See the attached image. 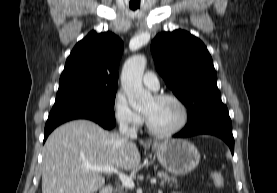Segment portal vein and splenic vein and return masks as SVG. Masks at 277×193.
<instances>
[{
    "mask_svg": "<svg viewBox=\"0 0 277 193\" xmlns=\"http://www.w3.org/2000/svg\"><path fill=\"white\" fill-rule=\"evenodd\" d=\"M87 169L93 170V171H98L101 173H107V174H112L115 173L118 175L119 179L121 180L123 186L129 189H133L135 187L134 181L132 178L127 176L126 174L118 171L116 168L112 166H92V165H87ZM157 180L156 178H151L150 183L151 184H156Z\"/></svg>",
    "mask_w": 277,
    "mask_h": 193,
    "instance_id": "portal-vein-and-splenic-vein-1",
    "label": "portal vein and splenic vein"
}]
</instances>
